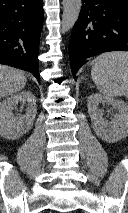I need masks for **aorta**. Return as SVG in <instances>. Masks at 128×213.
I'll list each match as a JSON object with an SVG mask.
<instances>
[{
	"label": "aorta",
	"mask_w": 128,
	"mask_h": 213,
	"mask_svg": "<svg viewBox=\"0 0 128 213\" xmlns=\"http://www.w3.org/2000/svg\"><path fill=\"white\" fill-rule=\"evenodd\" d=\"M61 32H68L78 20L82 0H63Z\"/></svg>",
	"instance_id": "1"
}]
</instances>
